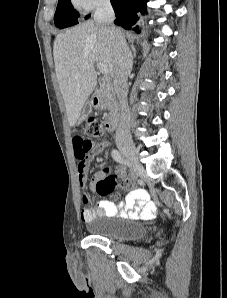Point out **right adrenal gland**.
I'll list each match as a JSON object with an SVG mask.
<instances>
[{
    "instance_id": "obj_1",
    "label": "right adrenal gland",
    "mask_w": 227,
    "mask_h": 298,
    "mask_svg": "<svg viewBox=\"0 0 227 298\" xmlns=\"http://www.w3.org/2000/svg\"><path fill=\"white\" fill-rule=\"evenodd\" d=\"M132 50H133V57L135 58L136 57V50L134 47H132Z\"/></svg>"
}]
</instances>
